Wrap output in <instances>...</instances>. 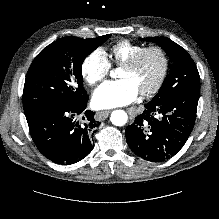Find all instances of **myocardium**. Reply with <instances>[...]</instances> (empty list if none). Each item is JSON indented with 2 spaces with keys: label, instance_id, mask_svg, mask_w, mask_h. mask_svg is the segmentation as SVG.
Masks as SVG:
<instances>
[{
  "label": "myocardium",
  "instance_id": "f54148a6",
  "mask_svg": "<svg viewBox=\"0 0 219 219\" xmlns=\"http://www.w3.org/2000/svg\"><path fill=\"white\" fill-rule=\"evenodd\" d=\"M149 52H156L159 54L162 61V66H161L160 74L157 80L155 81V83L148 89L139 92V94L142 97H150L156 94L161 89L164 82L166 81L170 67V61L166 51L161 46L158 45L143 47L141 50H139L130 59H128L121 65L122 68L133 69L134 67H136V65L139 63L142 57Z\"/></svg>",
  "mask_w": 219,
  "mask_h": 219
}]
</instances>
